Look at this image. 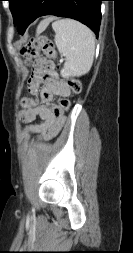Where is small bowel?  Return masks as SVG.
<instances>
[{
    "label": "small bowel",
    "mask_w": 133,
    "mask_h": 253,
    "mask_svg": "<svg viewBox=\"0 0 133 253\" xmlns=\"http://www.w3.org/2000/svg\"><path fill=\"white\" fill-rule=\"evenodd\" d=\"M52 61L54 56L36 60L28 80L30 95L22 98V109L19 112L20 120L25 124V131L43 138L57 135L65 122L63 114L54 113V97L67 98L71 94L69 84L55 74ZM37 116L41 118V123H34Z\"/></svg>",
    "instance_id": "small-bowel-1"
}]
</instances>
